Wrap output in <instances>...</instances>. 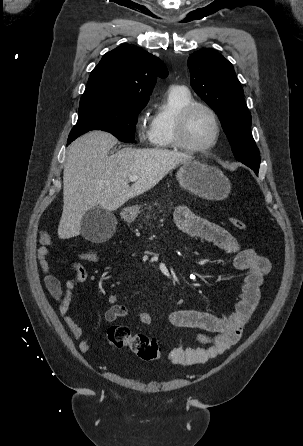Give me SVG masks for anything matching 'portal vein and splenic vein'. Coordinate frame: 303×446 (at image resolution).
I'll return each mask as SVG.
<instances>
[{"mask_svg": "<svg viewBox=\"0 0 303 446\" xmlns=\"http://www.w3.org/2000/svg\"><path fill=\"white\" fill-rule=\"evenodd\" d=\"M137 179H138V176H137V175H132V176H130V178H129L130 181H136Z\"/></svg>", "mask_w": 303, "mask_h": 446, "instance_id": "portal-vein-and-splenic-vein-1", "label": "portal vein and splenic vein"}]
</instances>
